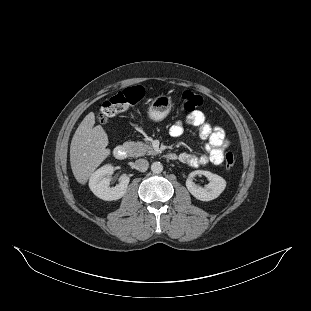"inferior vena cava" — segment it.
I'll list each match as a JSON object with an SVG mask.
<instances>
[{"mask_svg":"<svg viewBox=\"0 0 311 311\" xmlns=\"http://www.w3.org/2000/svg\"><path fill=\"white\" fill-rule=\"evenodd\" d=\"M135 165H136L137 170L140 172H146L149 167V163L145 159L136 160Z\"/></svg>","mask_w":311,"mask_h":311,"instance_id":"obj_1","label":"inferior vena cava"}]
</instances>
